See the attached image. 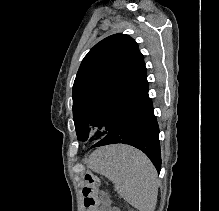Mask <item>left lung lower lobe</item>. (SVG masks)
I'll return each mask as SVG.
<instances>
[{"instance_id":"obj_1","label":"left lung lower lobe","mask_w":219,"mask_h":211,"mask_svg":"<svg viewBox=\"0 0 219 211\" xmlns=\"http://www.w3.org/2000/svg\"><path fill=\"white\" fill-rule=\"evenodd\" d=\"M116 143L140 149L160 172L159 127L148 96V86L128 106L114 129L92 147Z\"/></svg>"}]
</instances>
